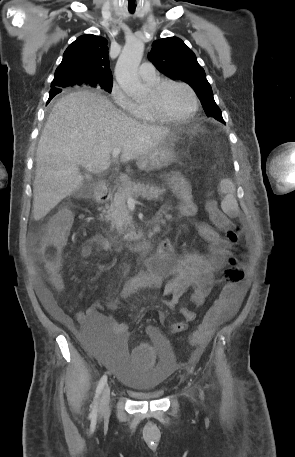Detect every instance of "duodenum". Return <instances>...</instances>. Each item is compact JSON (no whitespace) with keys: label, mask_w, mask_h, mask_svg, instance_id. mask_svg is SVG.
Returning a JSON list of instances; mask_svg holds the SVG:
<instances>
[{"label":"duodenum","mask_w":295,"mask_h":457,"mask_svg":"<svg viewBox=\"0 0 295 457\" xmlns=\"http://www.w3.org/2000/svg\"><path fill=\"white\" fill-rule=\"evenodd\" d=\"M111 198V191L106 187H98L95 191V199L99 204L107 203ZM161 220L157 217L156 219L148 223V229L146 234L140 240H128L125 245L132 250H143L147 249L152 241L153 233L159 227ZM104 236V235H100ZM105 237V236H104Z\"/></svg>","instance_id":"410a0bca"}]
</instances>
